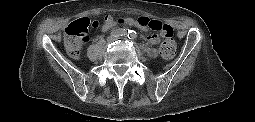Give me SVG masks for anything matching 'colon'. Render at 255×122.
Here are the masks:
<instances>
[{"label":"colon","instance_id":"colon-1","mask_svg":"<svg viewBox=\"0 0 255 122\" xmlns=\"http://www.w3.org/2000/svg\"><path fill=\"white\" fill-rule=\"evenodd\" d=\"M115 21L119 24H125L128 22V18L118 16ZM109 22H112V20L106 18L105 23ZM135 22L138 28L153 30L162 36L160 53L163 58L171 59L175 56L176 43L173 38V29L169 25L145 16L136 18ZM96 26V22L90 21L87 18H81L66 27L65 47L72 57L77 58L80 56L83 47L89 42V30L96 28Z\"/></svg>","mask_w":255,"mask_h":122}]
</instances>
